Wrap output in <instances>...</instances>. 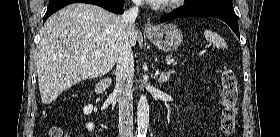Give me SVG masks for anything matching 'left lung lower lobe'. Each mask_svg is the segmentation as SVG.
<instances>
[{"label": "left lung lower lobe", "instance_id": "0a47b994", "mask_svg": "<svg viewBox=\"0 0 280 137\" xmlns=\"http://www.w3.org/2000/svg\"><path fill=\"white\" fill-rule=\"evenodd\" d=\"M215 17L227 23L240 39L238 19L231 5L222 3H209L199 5H189L179 8L160 18V22H166L180 17Z\"/></svg>", "mask_w": 280, "mask_h": 137}]
</instances>
